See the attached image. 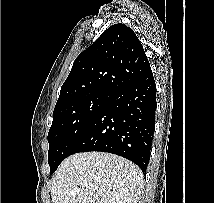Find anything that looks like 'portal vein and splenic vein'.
<instances>
[{"mask_svg":"<svg viewBox=\"0 0 214 203\" xmlns=\"http://www.w3.org/2000/svg\"><path fill=\"white\" fill-rule=\"evenodd\" d=\"M71 193L72 194H79V190H73Z\"/></svg>","mask_w":214,"mask_h":203,"instance_id":"portal-vein-and-splenic-vein-1","label":"portal vein and splenic vein"}]
</instances>
